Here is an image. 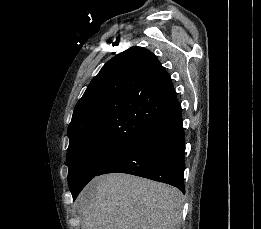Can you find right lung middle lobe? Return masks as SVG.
I'll return each instance as SVG.
<instances>
[{"label": "right lung middle lobe", "mask_w": 261, "mask_h": 229, "mask_svg": "<svg viewBox=\"0 0 261 229\" xmlns=\"http://www.w3.org/2000/svg\"><path fill=\"white\" fill-rule=\"evenodd\" d=\"M130 145L84 141L69 145L68 183L73 199L102 169L119 157Z\"/></svg>", "instance_id": "right-lung-middle-lobe-1"}]
</instances>
